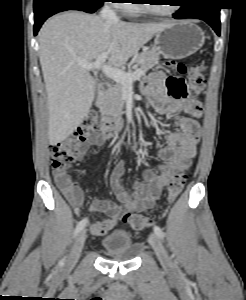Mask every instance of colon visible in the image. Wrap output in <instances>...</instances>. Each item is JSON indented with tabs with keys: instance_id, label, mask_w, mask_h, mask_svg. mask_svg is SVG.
Returning a JSON list of instances; mask_svg holds the SVG:
<instances>
[{
	"instance_id": "1",
	"label": "colon",
	"mask_w": 246,
	"mask_h": 300,
	"mask_svg": "<svg viewBox=\"0 0 246 300\" xmlns=\"http://www.w3.org/2000/svg\"><path fill=\"white\" fill-rule=\"evenodd\" d=\"M166 65L169 69L180 75H185L187 68L185 64L177 61H168ZM205 86V78L203 75V67L196 65L191 68L188 81L186 82V91L191 95L199 94ZM201 113V105L196 102L190 108V114L199 116ZM98 126V117L95 113H90L83 123L78 127L76 132L66 139L52 143L49 146L51 166L54 170L65 171L83 153V145L87 136L92 134ZM188 179V169L178 170L170 181L167 189V201L174 202L181 194ZM124 221L135 230H144L150 227L153 219L150 217L127 213L124 215Z\"/></svg>"
}]
</instances>
